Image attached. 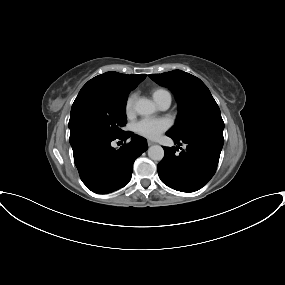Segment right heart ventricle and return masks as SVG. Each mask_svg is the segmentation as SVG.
I'll return each mask as SVG.
<instances>
[{
  "label": "right heart ventricle",
  "instance_id": "1",
  "mask_svg": "<svg viewBox=\"0 0 285 285\" xmlns=\"http://www.w3.org/2000/svg\"><path fill=\"white\" fill-rule=\"evenodd\" d=\"M152 96L153 99L158 102L159 100H161L163 97L165 96H171L170 93L163 88H156L152 91Z\"/></svg>",
  "mask_w": 285,
  "mask_h": 285
}]
</instances>
